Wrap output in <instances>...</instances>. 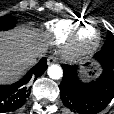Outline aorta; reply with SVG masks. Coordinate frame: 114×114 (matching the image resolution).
Wrapping results in <instances>:
<instances>
[{
	"mask_svg": "<svg viewBox=\"0 0 114 114\" xmlns=\"http://www.w3.org/2000/svg\"><path fill=\"white\" fill-rule=\"evenodd\" d=\"M48 76L52 79H60L63 76V70L58 65H51L47 70Z\"/></svg>",
	"mask_w": 114,
	"mask_h": 114,
	"instance_id": "aorta-1",
	"label": "aorta"
}]
</instances>
